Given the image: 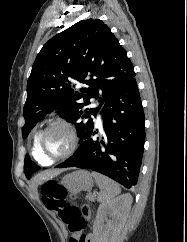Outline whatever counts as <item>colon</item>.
<instances>
[{
	"label": "colon",
	"mask_w": 187,
	"mask_h": 242,
	"mask_svg": "<svg viewBox=\"0 0 187 242\" xmlns=\"http://www.w3.org/2000/svg\"><path fill=\"white\" fill-rule=\"evenodd\" d=\"M41 193L45 207L54 212L69 231L70 242H89L83 229L91 220L90 205L83 203L81 206H76L69 203L67 189L56 180L46 182L41 188Z\"/></svg>",
	"instance_id": "5ec220e1"
}]
</instances>
